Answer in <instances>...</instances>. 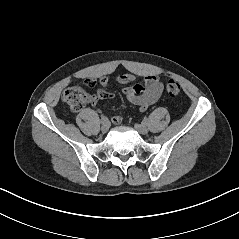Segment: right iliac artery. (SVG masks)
<instances>
[{
	"instance_id": "82829eb1",
	"label": "right iliac artery",
	"mask_w": 239,
	"mask_h": 239,
	"mask_svg": "<svg viewBox=\"0 0 239 239\" xmlns=\"http://www.w3.org/2000/svg\"><path fill=\"white\" fill-rule=\"evenodd\" d=\"M107 121H108V118L106 116L101 117V123L102 124L107 123Z\"/></svg>"
}]
</instances>
